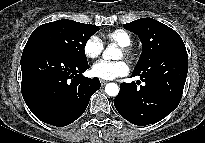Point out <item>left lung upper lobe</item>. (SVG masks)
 Returning a JSON list of instances; mask_svg holds the SVG:
<instances>
[{
  "label": "left lung upper lobe",
  "mask_w": 205,
  "mask_h": 143,
  "mask_svg": "<svg viewBox=\"0 0 205 143\" xmlns=\"http://www.w3.org/2000/svg\"><path fill=\"white\" fill-rule=\"evenodd\" d=\"M124 28L137 34L142 42L143 50L135 71L150 68L165 50L184 44L177 32L152 18H141L126 23Z\"/></svg>",
  "instance_id": "left-lung-upper-lobe-1"
}]
</instances>
